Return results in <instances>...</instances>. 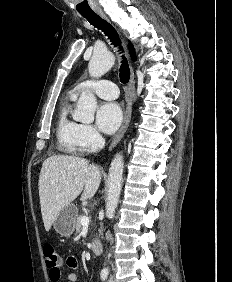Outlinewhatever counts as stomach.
<instances>
[{
  "label": "stomach",
  "mask_w": 232,
  "mask_h": 282,
  "mask_svg": "<svg viewBox=\"0 0 232 282\" xmlns=\"http://www.w3.org/2000/svg\"><path fill=\"white\" fill-rule=\"evenodd\" d=\"M78 209L74 204L62 208L53 221V228L61 237H70L75 230Z\"/></svg>",
  "instance_id": "0dacf381"
}]
</instances>
